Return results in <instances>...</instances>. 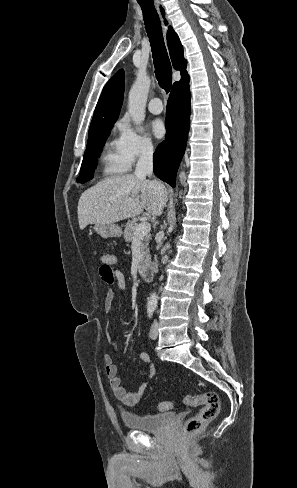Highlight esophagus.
I'll use <instances>...</instances> for the list:
<instances>
[{
    "label": "esophagus",
    "instance_id": "1",
    "mask_svg": "<svg viewBox=\"0 0 297 488\" xmlns=\"http://www.w3.org/2000/svg\"><path fill=\"white\" fill-rule=\"evenodd\" d=\"M156 7H157V11L159 13L160 19H161V24H162V27L164 29V32H167L170 22L167 18L166 10L160 1H158L156 3Z\"/></svg>",
    "mask_w": 297,
    "mask_h": 488
}]
</instances>
